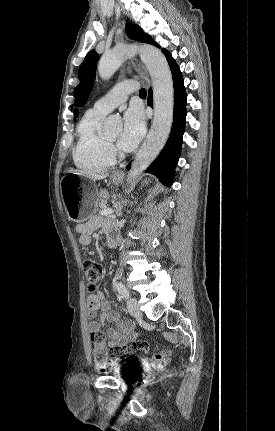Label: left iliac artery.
<instances>
[{
	"label": "left iliac artery",
	"instance_id": "left-iliac-artery-1",
	"mask_svg": "<svg viewBox=\"0 0 275 431\" xmlns=\"http://www.w3.org/2000/svg\"><path fill=\"white\" fill-rule=\"evenodd\" d=\"M116 289L122 298H124V299L129 298V292H128L127 288L125 287V285H123L121 282L116 283Z\"/></svg>",
	"mask_w": 275,
	"mask_h": 431
}]
</instances>
